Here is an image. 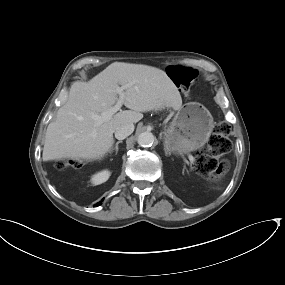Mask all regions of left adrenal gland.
Instances as JSON below:
<instances>
[{
  "mask_svg": "<svg viewBox=\"0 0 285 285\" xmlns=\"http://www.w3.org/2000/svg\"><path fill=\"white\" fill-rule=\"evenodd\" d=\"M164 150H165V154L166 155L170 154V153H168V148L167 147H165Z\"/></svg>",
  "mask_w": 285,
  "mask_h": 285,
  "instance_id": "obj_1",
  "label": "left adrenal gland"
}]
</instances>
